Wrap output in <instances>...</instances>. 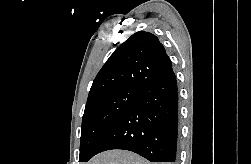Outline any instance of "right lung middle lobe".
<instances>
[{
  "label": "right lung middle lobe",
  "mask_w": 251,
  "mask_h": 164,
  "mask_svg": "<svg viewBox=\"0 0 251 164\" xmlns=\"http://www.w3.org/2000/svg\"><path fill=\"white\" fill-rule=\"evenodd\" d=\"M139 91V88L123 87L87 101L82 120L80 162H86L100 138L136 101Z\"/></svg>",
  "instance_id": "1"
}]
</instances>
